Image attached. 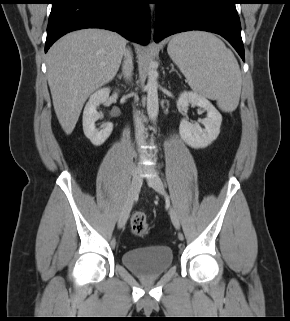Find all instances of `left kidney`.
<instances>
[{"label":"left kidney","mask_w":290,"mask_h":321,"mask_svg":"<svg viewBox=\"0 0 290 321\" xmlns=\"http://www.w3.org/2000/svg\"><path fill=\"white\" fill-rule=\"evenodd\" d=\"M178 104L182 108L193 104L207 111V118L201 121L205 129H202L198 124H192L186 119H182L179 133L181 138L192 148H205L210 145L220 133L222 116L218 110L204 96L189 91L180 94Z\"/></svg>","instance_id":"5707ae66"}]
</instances>
